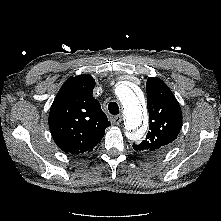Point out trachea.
<instances>
[{
	"label": "trachea",
	"instance_id": "3493384b",
	"mask_svg": "<svg viewBox=\"0 0 221 221\" xmlns=\"http://www.w3.org/2000/svg\"><path fill=\"white\" fill-rule=\"evenodd\" d=\"M108 110L112 115L119 114V106L116 102H110L108 105Z\"/></svg>",
	"mask_w": 221,
	"mask_h": 221
}]
</instances>
